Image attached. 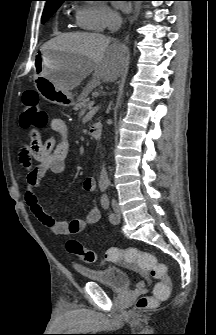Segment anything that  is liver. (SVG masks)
<instances>
[{
	"label": "liver",
	"mask_w": 216,
	"mask_h": 335,
	"mask_svg": "<svg viewBox=\"0 0 216 335\" xmlns=\"http://www.w3.org/2000/svg\"><path fill=\"white\" fill-rule=\"evenodd\" d=\"M52 50L72 56L70 66L53 80L64 91L77 86L90 73L91 85L115 82L124 70L128 48L120 43L111 44V39L98 33H65L45 43L41 51Z\"/></svg>",
	"instance_id": "6515ba94"
}]
</instances>
